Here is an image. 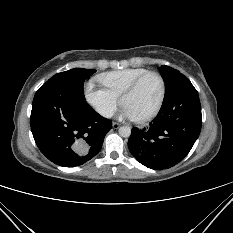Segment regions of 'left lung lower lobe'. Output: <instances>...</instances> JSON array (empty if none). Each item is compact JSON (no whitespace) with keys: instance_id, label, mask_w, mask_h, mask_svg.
Wrapping results in <instances>:
<instances>
[{"instance_id":"0a47b994","label":"left lung lower lobe","mask_w":233,"mask_h":233,"mask_svg":"<svg viewBox=\"0 0 233 233\" xmlns=\"http://www.w3.org/2000/svg\"><path fill=\"white\" fill-rule=\"evenodd\" d=\"M201 124L198 92L189 79L181 75L164 97L150 126L132 128L128 148L146 167L167 169L186 157L200 134Z\"/></svg>"}]
</instances>
